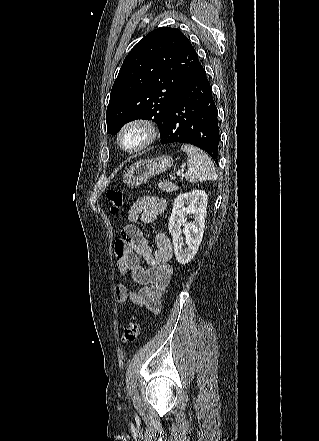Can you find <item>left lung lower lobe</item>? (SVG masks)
Instances as JSON below:
<instances>
[{"mask_svg": "<svg viewBox=\"0 0 319 441\" xmlns=\"http://www.w3.org/2000/svg\"><path fill=\"white\" fill-rule=\"evenodd\" d=\"M212 88L200 64L182 85L160 133L161 144H193L218 164L220 133Z\"/></svg>", "mask_w": 319, "mask_h": 441, "instance_id": "left-lung-lower-lobe-1", "label": "left lung lower lobe"}]
</instances>
